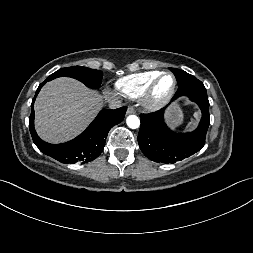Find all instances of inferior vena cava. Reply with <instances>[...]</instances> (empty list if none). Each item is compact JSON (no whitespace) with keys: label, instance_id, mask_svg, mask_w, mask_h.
<instances>
[{"label":"inferior vena cava","instance_id":"obj_1","mask_svg":"<svg viewBox=\"0 0 253 253\" xmlns=\"http://www.w3.org/2000/svg\"><path fill=\"white\" fill-rule=\"evenodd\" d=\"M107 102L110 109H116L123 105L122 101L117 97H111L107 100Z\"/></svg>","mask_w":253,"mask_h":253}]
</instances>
